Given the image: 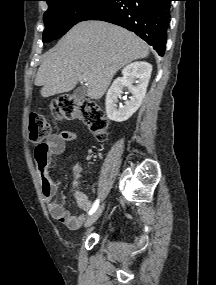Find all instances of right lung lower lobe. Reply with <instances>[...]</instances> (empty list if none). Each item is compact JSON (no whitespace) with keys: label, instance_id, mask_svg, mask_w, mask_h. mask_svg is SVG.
<instances>
[{"label":"right lung lower lobe","instance_id":"right-lung-lower-lobe-1","mask_svg":"<svg viewBox=\"0 0 216 285\" xmlns=\"http://www.w3.org/2000/svg\"><path fill=\"white\" fill-rule=\"evenodd\" d=\"M172 0H109L84 20H102L133 31L164 55Z\"/></svg>","mask_w":216,"mask_h":285}]
</instances>
